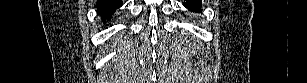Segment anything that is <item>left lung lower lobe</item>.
Here are the masks:
<instances>
[{
	"mask_svg": "<svg viewBox=\"0 0 307 83\" xmlns=\"http://www.w3.org/2000/svg\"><path fill=\"white\" fill-rule=\"evenodd\" d=\"M201 5H202L201 1L198 0H190L184 2V6L188 8L190 11L195 13L197 12L200 13L202 11Z\"/></svg>",
	"mask_w": 307,
	"mask_h": 83,
	"instance_id": "1",
	"label": "left lung lower lobe"
}]
</instances>
